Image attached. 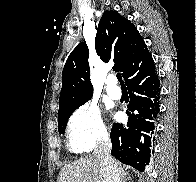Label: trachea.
I'll return each mask as SVG.
<instances>
[{"label": "trachea", "instance_id": "1", "mask_svg": "<svg viewBox=\"0 0 196 182\" xmlns=\"http://www.w3.org/2000/svg\"><path fill=\"white\" fill-rule=\"evenodd\" d=\"M117 79L118 81L120 82L121 85H124V82H123V79H122V76L120 73H117Z\"/></svg>", "mask_w": 196, "mask_h": 182}]
</instances>
